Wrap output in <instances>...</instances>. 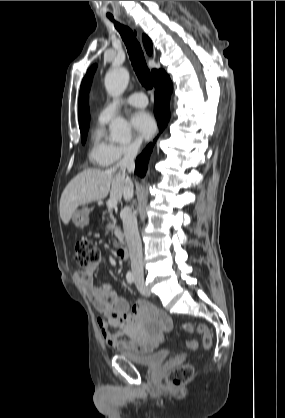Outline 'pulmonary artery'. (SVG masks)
Here are the masks:
<instances>
[{
  "label": "pulmonary artery",
  "instance_id": "pulmonary-artery-1",
  "mask_svg": "<svg viewBox=\"0 0 285 418\" xmlns=\"http://www.w3.org/2000/svg\"><path fill=\"white\" fill-rule=\"evenodd\" d=\"M132 105L135 107H144L148 104V99L143 93H134L126 98H118L106 104L99 112V119L108 121L118 110L124 105Z\"/></svg>",
  "mask_w": 285,
  "mask_h": 418
}]
</instances>
